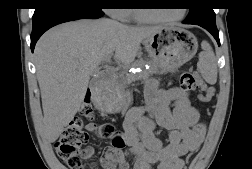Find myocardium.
I'll return each instance as SVG.
<instances>
[{
    "mask_svg": "<svg viewBox=\"0 0 252 169\" xmlns=\"http://www.w3.org/2000/svg\"><path fill=\"white\" fill-rule=\"evenodd\" d=\"M134 17L143 23H170V22H177L184 18L185 10H181L180 13L171 18H152L146 16L141 9H133Z\"/></svg>",
    "mask_w": 252,
    "mask_h": 169,
    "instance_id": "f54148a6",
    "label": "myocardium"
}]
</instances>
